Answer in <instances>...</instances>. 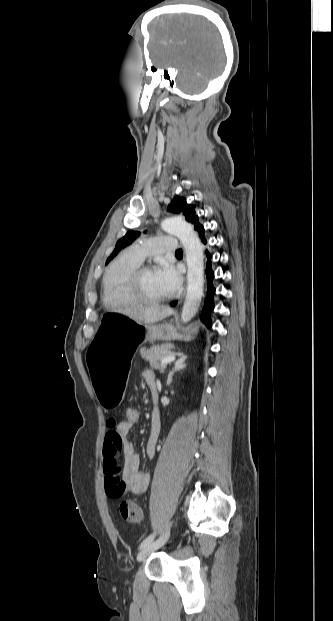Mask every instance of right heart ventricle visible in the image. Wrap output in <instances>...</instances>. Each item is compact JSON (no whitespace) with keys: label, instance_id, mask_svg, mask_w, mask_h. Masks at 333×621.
Segmentation results:
<instances>
[{"label":"right heart ventricle","instance_id":"obj_1","mask_svg":"<svg viewBox=\"0 0 333 621\" xmlns=\"http://www.w3.org/2000/svg\"><path fill=\"white\" fill-rule=\"evenodd\" d=\"M140 262L125 253L115 259L107 269L102 281V300L107 307H120L135 304L125 292V282L129 274Z\"/></svg>","mask_w":333,"mask_h":621}]
</instances>
